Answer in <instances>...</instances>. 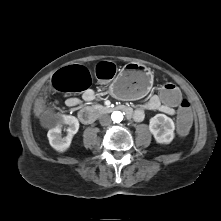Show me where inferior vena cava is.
<instances>
[{
  "mask_svg": "<svg viewBox=\"0 0 221 221\" xmlns=\"http://www.w3.org/2000/svg\"><path fill=\"white\" fill-rule=\"evenodd\" d=\"M99 121L102 126H106L111 123V118L109 115H102Z\"/></svg>",
  "mask_w": 221,
  "mask_h": 221,
  "instance_id": "obj_1",
  "label": "inferior vena cava"
}]
</instances>
